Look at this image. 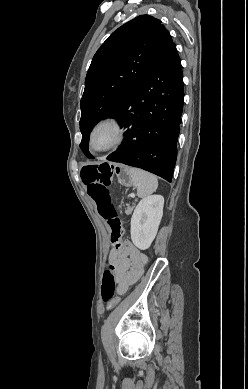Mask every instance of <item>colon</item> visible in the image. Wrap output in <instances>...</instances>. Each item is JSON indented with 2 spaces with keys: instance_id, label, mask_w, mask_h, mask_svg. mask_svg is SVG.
<instances>
[{
  "instance_id": "5ec220e1",
  "label": "colon",
  "mask_w": 248,
  "mask_h": 389,
  "mask_svg": "<svg viewBox=\"0 0 248 389\" xmlns=\"http://www.w3.org/2000/svg\"><path fill=\"white\" fill-rule=\"evenodd\" d=\"M110 167V161L96 162L95 166H87L83 169L82 177L87 186L88 194L97 205L99 214L107 221L110 227L111 243L115 248H119L122 244L124 228L109 193V186L113 176ZM115 274L116 267L111 263L108 264L101 285V297L107 309L114 308L120 300L116 296L117 285Z\"/></svg>"
}]
</instances>
